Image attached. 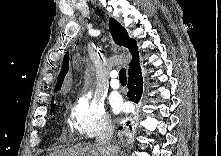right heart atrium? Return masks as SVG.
<instances>
[{"instance_id":"1","label":"right heart atrium","mask_w":221,"mask_h":156,"mask_svg":"<svg viewBox=\"0 0 221 156\" xmlns=\"http://www.w3.org/2000/svg\"><path fill=\"white\" fill-rule=\"evenodd\" d=\"M70 118L74 134L84 140L105 135L113 128L103 101L89 92L76 97L70 107Z\"/></svg>"}]
</instances>
